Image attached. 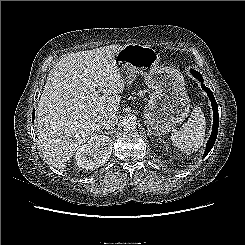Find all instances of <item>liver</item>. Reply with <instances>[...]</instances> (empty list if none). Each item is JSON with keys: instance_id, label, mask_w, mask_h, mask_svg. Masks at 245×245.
<instances>
[{"instance_id": "obj_1", "label": "liver", "mask_w": 245, "mask_h": 245, "mask_svg": "<svg viewBox=\"0 0 245 245\" xmlns=\"http://www.w3.org/2000/svg\"><path fill=\"white\" fill-rule=\"evenodd\" d=\"M121 48L113 44L72 53L48 74L36 112L37 135L44 158L60 172L98 133L102 118L118 113L125 82L114 58ZM85 73L93 87L82 80Z\"/></svg>"}]
</instances>
